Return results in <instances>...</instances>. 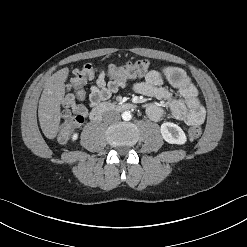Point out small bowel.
<instances>
[{
	"instance_id": "c3829d8e",
	"label": "small bowel",
	"mask_w": 247,
	"mask_h": 247,
	"mask_svg": "<svg viewBox=\"0 0 247 247\" xmlns=\"http://www.w3.org/2000/svg\"><path fill=\"white\" fill-rule=\"evenodd\" d=\"M165 81L177 89L178 96L173 95L164 87ZM126 87L159 101L148 103L144 107L146 115L152 120H160L167 113L187 125H200L205 120V109L196 86L183 69L173 66L151 70L143 78L134 81L114 78L108 81L107 73L101 71L95 83L90 87L89 105H99ZM70 89L71 85L68 84L62 105L67 110L71 109L74 115L81 114L84 118L87 109L75 103V97L69 92Z\"/></svg>"
}]
</instances>
